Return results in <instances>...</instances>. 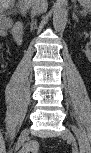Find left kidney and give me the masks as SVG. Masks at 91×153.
I'll return each mask as SVG.
<instances>
[{
  "mask_svg": "<svg viewBox=\"0 0 91 153\" xmlns=\"http://www.w3.org/2000/svg\"><path fill=\"white\" fill-rule=\"evenodd\" d=\"M85 54L88 59L91 57V51L89 49L85 51Z\"/></svg>",
  "mask_w": 91,
  "mask_h": 153,
  "instance_id": "1",
  "label": "left kidney"
}]
</instances>
